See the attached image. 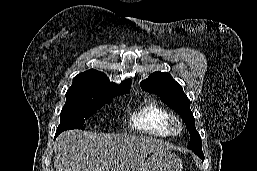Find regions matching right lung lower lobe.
<instances>
[{"mask_svg":"<svg viewBox=\"0 0 257 171\" xmlns=\"http://www.w3.org/2000/svg\"><path fill=\"white\" fill-rule=\"evenodd\" d=\"M60 132L56 131V136L59 134Z\"/></svg>","mask_w":257,"mask_h":171,"instance_id":"right-lung-lower-lobe-1","label":"right lung lower lobe"}]
</instances>
